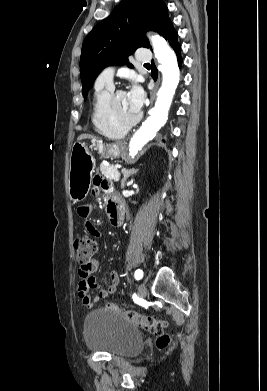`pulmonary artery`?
<instances>
[{
  "mask_svg": "<svg viewBox=\"0 0 267 391\" xmlns=\"http://www.w3.org/2000/svg\"><path fill=\"white\" fill-rule=\"evenodd\" d=\"M151 59V53L148 49L142 48L137 53V60L140 62H148ZM113 75H114V68L113 67H107L105 68L97 77L95 86L100 87H107L113 89Z\"/></svg>",
  "mask_w": 267,
  "mask_h": 391,
  "instance_id": "obj_1",
  "label": "pulmonary artery"
}]
</instances>
